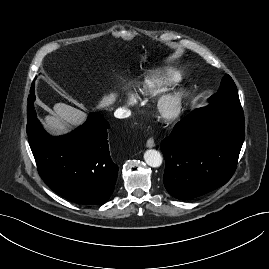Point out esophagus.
<instances>
[{
    "instance_id": "1",
    "label": "esophagus",
    "mask_w": 269,
    "mask_h": 269,
    "mask_svg": "<svg viewBox=\"0 0 269 269\" xmlns=\"http://www.w3.org/2000/svg\"><path fill=\"white\" fill-rule=\"evenodd\" d=\"M146 146H147L148 148H152V147H154V146H155V142H154V140H153L152 138H149V139L147 140V142H146Z\"/></svg>"
}]
</instances>
